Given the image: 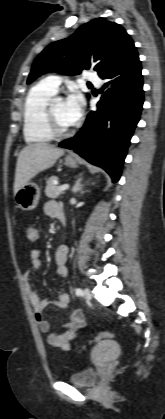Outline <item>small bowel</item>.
<instances>
[{"mask_svg":"<svg viewBox=\"0 0 165 419\" xmlns=\"http://www.w3.org/2000/svg\"><path fill=\"white\" fill-rule=\"evenodd\" d=\"M59 205L53 201H49L44 205V212L46 215L51 217H57V210ZM31 231L35 233V236L31 235ZM27 238L29 241H37L39 239V232L36 227L29 226L27 228ZM68 247L66 245H60L55 252V262H56V276L61 279L68 275V268L66 267V261L68 258ZM41 251L40 249H34L31 251V268L26 269L23 280L26 289V293L30 303L33 306L36 321L41 332L48 333L47 342L49 345L64 351L68 352L73 349L72 341L76 339L82 329L85 327V316L81 310L73 311L68 321L63 325V331L61 332H51L50 323L45 319L43 311L53 305L61 309L67 308L70 303V295L66 291H60L58 293V298L55 301L48 299H41L36 291L34 290L31 283V270H39L41 267L40 263Z\"/></svg>","mask_w":165,"mask_h":419,"instance_id":"small-bowel-1","label":"small bowel"}]
</instances>
